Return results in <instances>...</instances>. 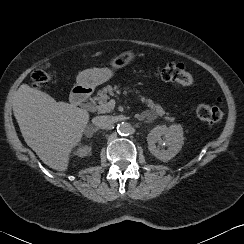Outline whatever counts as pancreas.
Segmentation results:
<instances>
[{"instance_id":"cf45deb5","label":"pancreas","mask_w":244,"mask_h":244,"mask_svg":"<svg viewBox=\"0 0 244 244\" xmlns=\"http://www.w3.org/2000/svg\"><path fill=\"white\" fill-rule=\"evenodd\" d=\"M128 90V89H126ZM120 89L118 86L112 87L111 85H107L98 91L97 96L92 99V102L95 105L96 110L99 113H108L112 111V108L106 106L107 101L110 99V96H118L120 93ZM133 92V91H130ZM137 93H139L137 91ZM139 101L144 103L147 107L150 108L152 112H154L158 116H164V119L169 122L174 121V117H171L169 113L165 112L162 106L158 103H155L152 99H149L143 95H138L136 97Z\"/></svg>"}]
</instances>
